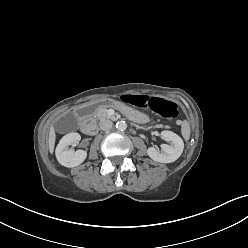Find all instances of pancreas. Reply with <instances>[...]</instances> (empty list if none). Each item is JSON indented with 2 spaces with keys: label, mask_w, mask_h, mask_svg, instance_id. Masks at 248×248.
<instances>
[{
  "label": "pancreas",
  "mask_w": 248,
  "mask_h": 248,
  "mask_svg": "<svg viewBox=\"0 0 248 248\" xmlns=\"http://www.w3.org/2000/svg\"><path fill=\"white\" fill-rule=\"evenodd\" d=\"M112 106V105H109ZM109 106H101L98 108V110L95 113V118L99 121H104L107 119H112L110 115H108V107Z\"/></svg>",
  "instance_id": "pancreas-1"
}]
</instances>
